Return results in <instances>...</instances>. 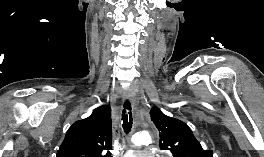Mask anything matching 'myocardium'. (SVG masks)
Instances as JSON below:
<instances>
[{
    "instance_id": "obj_1",
    "label": "myocardium",
    "mask_w": 264,
    "mask_h": 157,
    "mask_svg": "<svg viewBox=\"0 0 264 157\" xmlns=\"http://www.w3.org/2000/svg\"><path fill=\"white\" fill-rule=\"evenodd\" d=\"M160 157H168V156H160Z\"/></svg>"
}]
</instances>
